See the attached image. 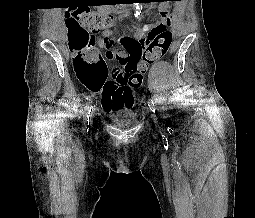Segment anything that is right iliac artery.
Segmentation results:
<instances>
[{
	"instance_id": "right-iliac-artery-1",
	"label": "right iliac artery",
	"mask_w": 255,
	"mask_h": 218,
	"mask_svg": "<svg viewBox=\"0 0 255 218\" xmlns=\"http://www.w3.org/2000/svg\"><path fill=\"white\" fill-rule=\"evenodd\" d=\"M90 112H91V105L88 103L85 106V116L83 119V129H87L88 125H89V116H90Z\"/></svg>"
}]
</instances>
